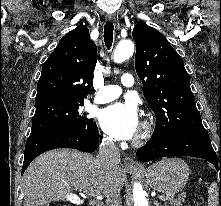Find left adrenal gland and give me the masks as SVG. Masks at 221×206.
<instances>
[{
  "label": "left adrenal gland",
  "instance_id": "obj_1",
  "mask_svg": "<svg viewBox=\"0 0 221 206\" xmlns=\"http://www.w3.org/2000/svg\"><path fill=\"white\" fill-rule=\"evenodd\" d=\"M154 205L155 206H163V205H160V203L158 201H154Z\"/></svg>",
  "mask_w": 221,
  "mask_h": 206
}]
</instances>
